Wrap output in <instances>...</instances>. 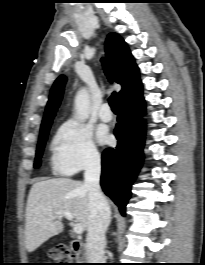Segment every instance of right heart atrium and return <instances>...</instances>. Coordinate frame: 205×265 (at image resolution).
Segmentation results:
<instances>
[{
  "instance_id": "right-heart-atrium-1",
  "label": "right heart atrium",
  "mask_w": 205,
  "mask_h": 265,
  "mask_svg": "<svg viewBox=\"0 0 205 265\" xmlns=\"http://www.w3.org/2000/svg\"><path fill=\"white\" fill-rule=\"evenodd\" d=\"M52 147V168L58 174L73 175L100 162L92 131L76 120L60 126Z\"/></svg>"
}]
</instances>
